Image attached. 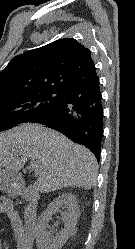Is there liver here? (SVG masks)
<instances>
[{"label": "liver", "instance_id": "obj_1", "mask_svg": "<svg viewBox=\"0 0 135 249\" xmlns=\"http://www.w3.org/2000/svg\"><path fill=\"white\" fill-rule=\"evenodd\" d=\"M38 163L36 191L49 193L67 187L91 189L98 164L84 146L40 124H22L0 133V168L18 172L27 159Z\"/></svg>", "mask_w": 135, "mask_h": 249}]
</instances>
